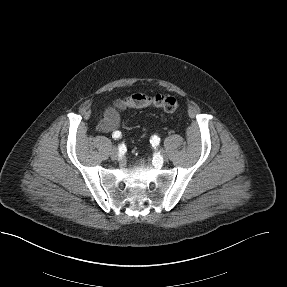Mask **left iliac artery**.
Listing matches in <instances>:
<instances>
[{
    "mask_svg": "<svg viewBox=\"0 0 287 287\" xmlns=\"http://www.w3.org/2000/svg\"><path fill=\"white\" fill-rule=\"evenodd\" d=\"M160 138H158L156 135L152 136L150 143L152 146H158L159 145Z\"/></svg>",
    "mask_w": 287,
    "mask_h": 287,
    "instance_id": "left-iliac-artery-1",
    "label": "left iliac artery"
}]
</instances>
